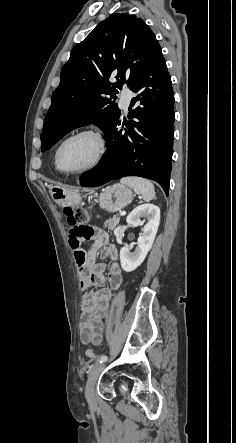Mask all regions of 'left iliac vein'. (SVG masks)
Instances as JSON below:
<instances>
[{
    "label": "left iliac vein",
    "mask_w": 236,
    "mask_h": 443,
    "mask_svg": "<svg viewBox=\"0 0 236 443\" xmlns=\"http://www.w3.org/2000/svg\"><path fill=\"white\" fill-rule=\"evenodd\" d=\"M104 366L105 365L103 363H95L90 368V372L88 375L85 388V397L90 408L93 410L96 409L95 385Z\"/></svg>",
    "instance_id": "4c4485c4"
}]
</instances>
